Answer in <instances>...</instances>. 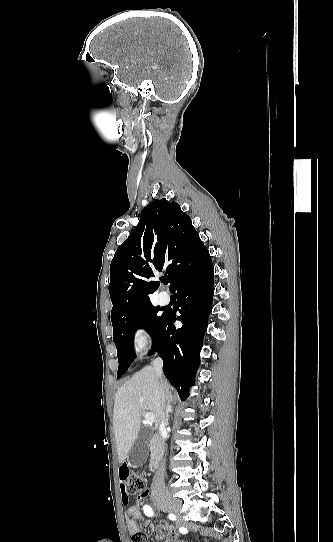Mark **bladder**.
I'll list each match as a JSON object with an SVG mask.
<instances>
[{
  "instance_id": "31cf9c89",
  "label": "bladder",
  "mask_w": 333,
  "mask_h": 542,
  "mask_svg": "<svg viewBox=\"0 0 333 542\" xmlns=\"http://www.w3.org/2000/svg\"><path fill=\"white\" fill-rule=\"evenodd\" d=\"M176 542H190L189 540H177Z\"/></svg>"
}]
</instances>
